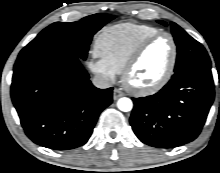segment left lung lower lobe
<instances>
[{
    "label": "left lung lower lobe",
    "instance_id": "obj_1",
    "mask_svg": "<svg viewBox=\"0 0 220 173\" xmlns=\"http://www.w3.org/2000/svg\"><path fill=\"white\" fill-rule=\"evenodd\" d=\"M130 124L145 144L174 148L197 138L214 100L211 65L174 73L159 93L132 98Z\"/></svg>",
    "mask_w": 220,
    "mask_h": 173
}]
</instances>
